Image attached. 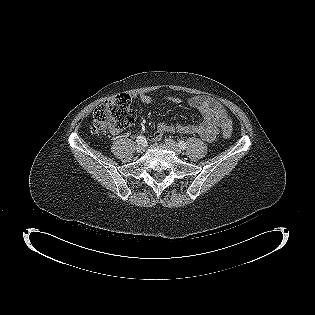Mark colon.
I'll return each instance as SVG.
<instances>
[{"mask_svg":"<svg viewBox=\"0 0 315 315\" xmlns=\"http://www.w3.org/2000/svg\"><path fill=\"white\" fill-rule=\"evenodd\" d=\"M129 95L120 94L103 102L93 113L92 130L95 133L105 130H122L133 123L135 112L130 107ZM231 135L229 128L223 129V136Z\"/></svg>","mask_w":315,"mask_h":315,"instance_id":"5ec220e1","label":"colon"}]
</instances>
